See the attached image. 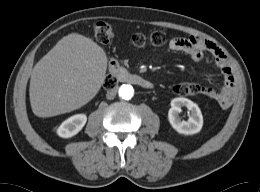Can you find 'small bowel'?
Masks as SVG:
<instances>
[{"label": "small bowel", "mask_w": 260, "mask_h": 192, "mask_svg": "<svg viewBox=\"0 0 260 192\" xmlns=\"http://www.w3.org/2000/svg\"><path fill=\"white\" fill-rule=\"evenodd\" d=\"M168 50L184 53L196 62L202 61L206 54L211 55L223 74L224 84L220 90L200 86L199 93L216 100L223 108L232 104L237 92L236 79L226 55L215 43L197 36L175 37L170 40Z\"/></svg>", "instance_id": "obj_1"}]
</instances>
